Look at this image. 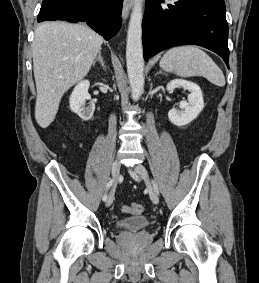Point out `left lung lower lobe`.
Listing matches in <instances>:
<instances>
[{
  "label": "left lung lower lobe",
  "mask_w": 259,
  "mask_h": 283,
  "mask_svg": "<svg viewBox=\"0 0 259 283\" xmlns=\"http://www.w3.org/2000/svg\"><path fill=\"white\" fill-rule=\"evenodd\" d=\"M224 0H146L144 59L174 46L199 45L223 58L229 68L228 24Z\"/></svg>",
  "instance_id": "left-lung-lower-lobe-1"
}]
</instances>
